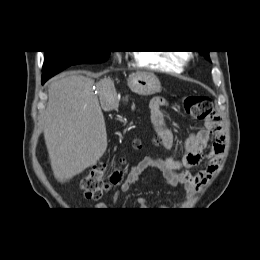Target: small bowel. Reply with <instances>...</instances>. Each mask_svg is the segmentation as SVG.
I'll return each instance as SVG.
<instances>
[{"mask_svg":"<svg viewBox=\"0 0 260 260\" xmlns=\"http://www.w3.org/2000/svg\"><path fill=\"white\" fill-rule=\"evenodd\" d=\"M167 106L168 101L165 98H153L150 102V119L154 129L162 138L164 146L170 149L174 138L164 123L163 108ZM223 152L224 133L221 122L216 116L207 118L199 131L193 132L187 137L180 153L172 154L165 159L145 157L132 166L123 183L115 191L113 203H117L120 195L130 190L147 169L160 171L168 186L180 185L188 195L193 196L217 170ZM200 165H203L201 170L192 171L193 168ZM135 205L141 210L149 208L148 201L144 197L137 198ZM94 207L96 210L107 208L100 201L96 202Z\"/></svg>","mask_w":260,"mask_h":260,"instance_id":"c3829d8e","label":"small bowel"}]
</instances>
